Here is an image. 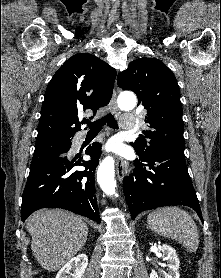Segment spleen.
Segmentation results:
<instances>
[{
	"label": "spleen",
	"mask_w": 221,
	"mask_h": 278,
	"mask_svg": "<svg viewBox=\"0 0 221 278\" xmlns=\"http://www.w3.org/2000/svg\"><path fill=\"white\" fill-rule=\"evenodd\" d=\"M147 224L158 235L171 238L191 252L199 247L197 226L192 217L178 207H163L152 211Z\"/></svg>",
	"instance_id": "1"
}]
</instances>
